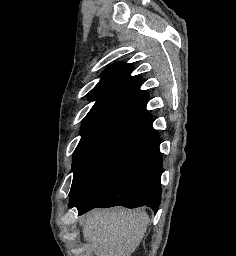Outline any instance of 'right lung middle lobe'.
<instances>
[{
    "instance_id": "right-lung-middle-lobe-1",
    "label": "right lung middle lobe",
    "mask_w": 236,
    "mask_h": 256,
    "mask_svg": "<svg viewBox=\"0 0 236 256\" xmlns=\"http://www.w3.org/2000/svg\"><path fill=\"white\" fill-rule=\"evenodd\" d=\"M151 129V123L122 117L83 122L81 139L73 154L70 200L109 160Z\"/></svg>"
}]
</instances>
